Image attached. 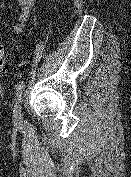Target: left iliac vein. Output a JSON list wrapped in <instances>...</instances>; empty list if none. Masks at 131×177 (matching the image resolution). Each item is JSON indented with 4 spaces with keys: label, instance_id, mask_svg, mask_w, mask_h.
I'll return each mask as SVG.
<instances>
[{
    "label": "left iliac vein",
    "instance_id": "obj_1",
    "mask_svg": "<svg viewBox=\"0 0 131 177\" xmlns=\"http://www.w3.org/2000/svg\"><path fill=\"white\" fill-rule=\"evenodd\" d=\"M22 100L21 98L16 102V105L14 107V118L15 120H19L22 117Z\"/></svg>",
    "mask_w": 131,
    "mask_h": 177
}]
</instances>
